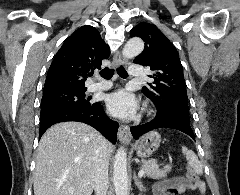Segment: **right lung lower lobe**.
I'll use <instances>...</instances> for the list:
<instances>
[{
	"label": "right lung lower lobe",
	"instance_id": "98d812e1",
	"mask_svg": "<svg viewBox=\"0 0 240 195\" xmlns=\"http://www.w3.org/2000/svg\"><path fill=\"white\" fill-rule=\"evenodd\" d=\"M63 121L84 122L98 130L113 144L116 143L118 123L106 116L100 102L93 103L90 106H58L42 110L40 113L39 138L51 125Z\"/></svg>",
	"mask_w": 240,
	"mask_h": 195
}]
</instances>
